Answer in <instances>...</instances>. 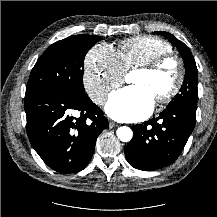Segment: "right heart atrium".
Here are the masks:
<instances>
[{
	"mask_svg": "<svg viewBox=\"0 0 217 217\" xmlns=\"http://www.w3.org/2000/svg\"><path fill=\"white\" fill-rule=\"evenodd\" d=\"M83 85L90 99L103 105L124 81L125 71L117 53L106 44L93 46L85 57Z\"/></svg>",
	"mask_w": 217,
	"mask_h": 217,
	"instance_id": "right-heart-atrium-1",
	"label": "right heart atrium"
}]
</instances>
